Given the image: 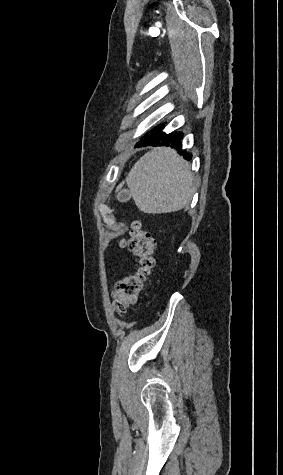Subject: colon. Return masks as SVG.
Wrapping results in <instances>:
<instances>
[{
    "mask_svg": "<svg viewBox=\"0 0 283 475\" xmlns=\"http://www.w3.org/2000/svg\"><path fill=\"white\" fill-rule=\"evenodd\" d=\"M128 247L141 268L139 272L127 274L115 283L112 309L117 313H125L138 303L145 278L153 263L154 239L137 223L132 227Z\"/></svg>",
    "mask_w": 283,
    "mask_h": 475,
    "instance_id": "obj_1",
    "label": "colon"
}]
</instances>
